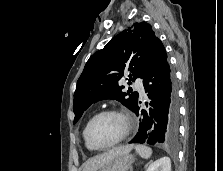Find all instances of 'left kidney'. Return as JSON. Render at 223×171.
<instances>
[{"label": "left kidney", "instance_id": "left-kidney-1", "mask_svg": "<svg viewBox=\"0 0 223 171\" xmlns=\"http://www.w3.org/2000/svg\"><path fill=\"white\" fill-rule=\"evenodd\" d=\"M146 171H171V160L169 157H162L151 163Z\"/></svg>", "mask_w": 223, "mask_h": 171}]
</instances>
